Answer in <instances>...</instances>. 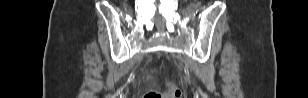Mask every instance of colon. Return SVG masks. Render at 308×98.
<instances>
[{"mask_svg":"<svg viewBox=\"0 0 308 98\" xmlns=\"http://www.w3.org/2000/svg\"><path fill=\"white\" fill-rule=\"evenodd\" d=\"M181 97V91L179 88L172 82L168 83L167 85V91L166 92H160V91H149L147 92L143 98H180Z\"/></svg>","mask_w":308,"mask_h":98,"instance_id":"obj_1","label":"colon"}]
</instances>
